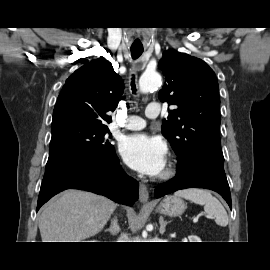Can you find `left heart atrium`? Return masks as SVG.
Instances as JSON below:
<instances>
[{
	"mask_svg": "<svg viewBox=\"0 0 270 270\" xmlns=\"http://www.w3.org/2000/svg\"><path fill=\"white\" fill-rule=\"evenodd\" d=\"M119 152L125 163L139 173L157 176L165 168L167 147L158 137L147 134H132L124 137Z\"/></svg>",
	"mask_w": 270,
	"mask_h": 270,
	"instance_id": "left-heart-atrium-1",
	"label": "left heart atrium"
}]
</instances>
